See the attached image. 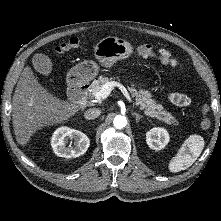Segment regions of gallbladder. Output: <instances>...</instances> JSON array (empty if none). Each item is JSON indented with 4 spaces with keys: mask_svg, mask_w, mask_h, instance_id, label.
<instances>
[{
    "mask_svg": "<svg viewBox=\"0 0 221 221\" xmlns=\"http://www.w3.org/2000/svg\"><path fill=\"white\" fill-rule=\"evenodd\" d=\"M35 70L40 75H50L53 67V60L45 51H38L33 57Z\"/></svg>",
    "mask_w": 221,
    "mask_h": 221,
    "instance_id": "1",
    "label": "gallbladder"
}]
</instances>
